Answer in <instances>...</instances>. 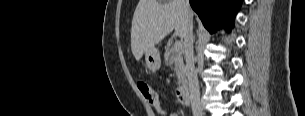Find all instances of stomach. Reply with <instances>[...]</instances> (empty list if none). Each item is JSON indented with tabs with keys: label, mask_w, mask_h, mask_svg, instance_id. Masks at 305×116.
<instances>
[{
	"label": "stomach",
	"mask_w": 305,
	"mask_h": 116,
	"mask_svg": "<svg viewBox=\"0 0 305 116\" xmlns=\"http://www.w3.org/2000/svg\"><path fill=\"white\" fill-rule=\"evenodd\" d=\"M145 62L149 70L151 71L159 70L161 66V58L158 48L153 46L152 48L146 51Z\"/></svg>",
	"instance_id": "0dacf381"
}]
</instances>
